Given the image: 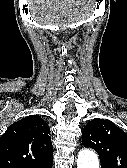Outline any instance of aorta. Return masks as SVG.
<instances>
[{
    "label": "aorta",
    "mask_w": 127,
    "mask_h": 168,
    "mask_svg": "<svg viewBox=\"0 0 127 168\" xmlns=\"http://www.w3.org/2000/svg\"><path fill=\"white\" fill-rule=\"evenodd\" d=\"M78 168H99L97 154L90 149L80 151L77 159Z\"/></svg>",
    "instance_id": "1"
}]
</instances>
